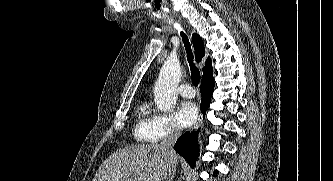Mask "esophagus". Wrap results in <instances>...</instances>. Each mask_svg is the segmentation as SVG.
<instances>
[{"mask_svg":"<svg viewBox=\"0 0 333 181\" xmlns=\"http://www.w3.org/2000/svg\"><path fill=\"white\" fill-rule=\"evenodd\" d=\"M202 119H203V115H202V113L200 112L199 115H198L197 121H196V123H195V125H194V128L198 127V126L201 124Z\"/></svg>","mask_w":333,"mask_h":181,"instance_id":"1","label":"esophagus"}]
</instances>
